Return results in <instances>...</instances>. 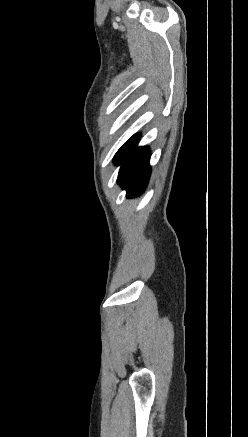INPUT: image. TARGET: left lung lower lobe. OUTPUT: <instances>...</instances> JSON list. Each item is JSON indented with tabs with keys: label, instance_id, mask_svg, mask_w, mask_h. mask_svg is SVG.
Returning a JSON list of instances; mask_svg holds the SVG:
<instances>
[{
	"label": "left lung lower lobe",
	"instance_id": "1",
	"mask_svg": "<svg viewBox=\"0 0 248 437\" xmlns=\"http://www.w3.org/2000/svg\"><path fill=\"white\" fill-rule=\"evenodd\" d=\"M140 136H132L116 153L114 162L121 164L118 183L127 192V197L141 194L150 176V151L148 147H137Z\"/></svg>",
	"mask_w": 248,
	"mask_h": 437
}]
</instances>
